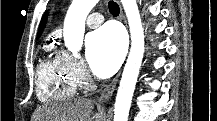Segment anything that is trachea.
<instances>
[{
	"instance_id": "obj_1",
	"label": "trachea",
	"mask_w": 217,
	"mask_h": 121,
	"mask_svg": "<svg viewBox=\"0 0 217 121\" xmlns=\"http://www.w3.org/2000/svg\"><path fill=\"white\" fill-rule=\"evenodd\" d=\"M108 8H109L110 13L114 16H117L120 12L118 4L114 1L108 2Z\"/></svg>"
}]
</instances>
